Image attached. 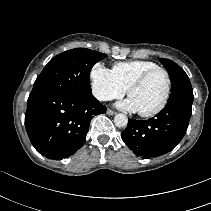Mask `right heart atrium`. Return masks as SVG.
<instances>
[{
    "label": "right heart atrium",
    "mask_w": 211,
    "mask_h": 211,
    "mask_svg": "<svg viewBox=\"0 0 211 211\" xmlns=\"http://www.w3.org/2000/svg\"><path fill=\"white\" fill-rule=\"evenodd\" d=\"M90 78L92 93L100 101L120 98L125 94L126 90L118 83L112 71L100 63L93 66Z\"/></svg>",
    "instance_id": "1"
}]
</instances>
